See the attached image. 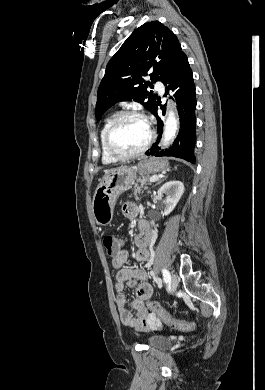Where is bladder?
I'll use <instances>...</instances> for the list:
<instances>
[{
  "label": "bladder",
  "instance_id": "obj_1",
  "mask_svg": "<svg viewBox=\"0 0 265 390\" xmlns=\"http://www.w3.org/2000/svg\"><path fill=\"white\" fill-rule=\"evenodd\" d=\"M147 341L149 346L157 349H165L172 344V341L169 338L158 335L150 336Z\"/></svg>",
  "mask_w": 265,
  "mask_h": 390
}]
</instances>
